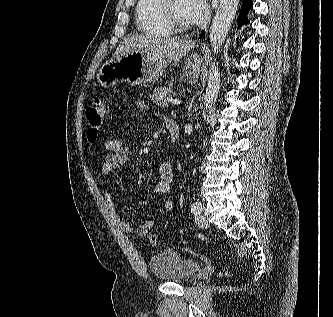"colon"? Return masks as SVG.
<instances>
[{
    "label": "colon",
    "mask_w": 333,
    "mask_h": 317,
    "mask_svg": "<svg viewBox=\"0 0 333 317\" xmlns=\"http://www.w3.org/2000/svg\"><path fill=\"white\" fill-rule=\"evenodd\" d=\"M106 113L107 107L105 102L98 98L94 99L87 107V138L89 142L93 143L97 140ZM158 241L159 238L157 234H152L149 237V242L153 246L157 245ZM223 275L229 276V271H224Z\"/></svg>",
    "instance_id": "colon-1"
}]
</instances>
